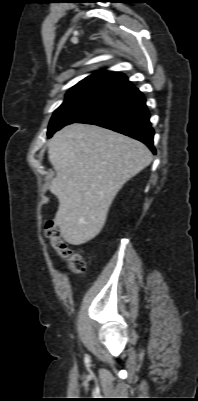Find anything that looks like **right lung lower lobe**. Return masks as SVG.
Returning a JSON list of instances; mask_svg holds the SVG:
<instances>
[{
    "mask_svg": "<svg viewBox=\"0 0 198 401\" xmlns=\"http://www.w3.org/2000/svg\"><path fill=\"white\" fill-rule=\"evenodd\" d=\"M149 116L143 94L125 80L112 89L95 110L76 123L98 125L133 137L155 154Z\"/></svg>",
    "mask_w": 198,
    "mask_h": 401,
    "instance_id": "1",
    "label": "right lung lower lobe"
}]
</instances>
